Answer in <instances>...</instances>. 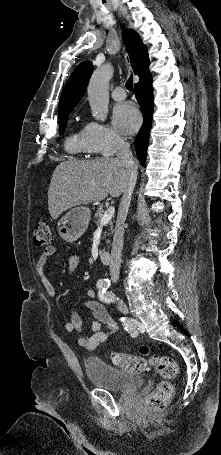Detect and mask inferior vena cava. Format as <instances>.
I'll return each mask as SVG.
<instances>
[{
  "mask_svg": "<svg viewBox=\"0 0 221 455\" xmlns=\"http://www.w3.org/2000/svg\"><path fill=\"white\" fill-rule=\"evenodd\" d=\"M117 158L125 165L128 181L119 205L112 242L111 261L109 270L110 277L113 283H116L119 279V271L123 248L124 223L128 214L132 193L137 180V164L135 163L132 153L130 151V145L126 140L121 138H118Z\"/></svg>",
  "mask_w": 221,
  "mask_h": 455,
  "instance_id": "obj_1",
  "label": "inferior vena cava"
}]
</instances>
